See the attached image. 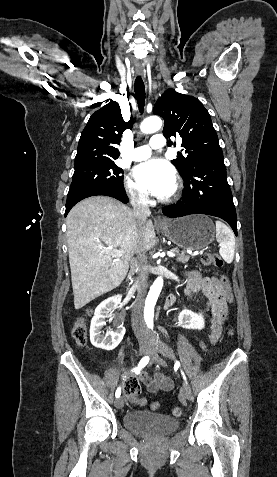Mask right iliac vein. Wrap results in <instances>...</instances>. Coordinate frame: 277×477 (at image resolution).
Wrapping results in <instances>:
<instances>
[{
  "label": "right iliac vein",
  "instance_id": "obj_1",
  "mask_svg": "<svg viewBox=\"0 0 277 477\" xmlns=\"http://www.w3.org/2000/svg\"><path fill=\"white\" fill-rule=\"evenodd\" d=\"M150 351V345L146 341H141L139 344V355L144 356ZM124 405L123 397H118L115 400V407L120 409Z\"/></svg>",
  "mask_w": 277,
  "mask_h": 477
}]
</instances>
